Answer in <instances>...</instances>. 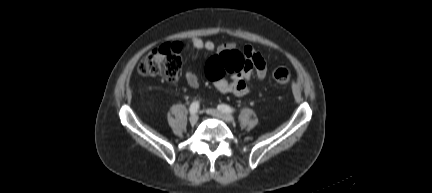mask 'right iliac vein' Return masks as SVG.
Returning <instances> with one entry per match:
<instances>
[{
    "label": "right iliac vein",
    "mask_w": 432,
    "mask_h": 193,
    "mask_svg": "<svg viewBox=\"0 0 432 193\" xmlns=\"http://www.w3.org/2000/svg\"><path fill=\"white\" fill-rule=\"evenodd\" d=\"M197 121H198V115L197 114H192L190 117H189V122L191 123V124H196L197 123Z\"/></svg>",
    "instance_id": "63e3f726"
}]
</instances>
